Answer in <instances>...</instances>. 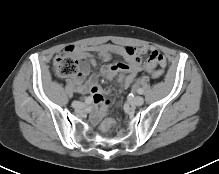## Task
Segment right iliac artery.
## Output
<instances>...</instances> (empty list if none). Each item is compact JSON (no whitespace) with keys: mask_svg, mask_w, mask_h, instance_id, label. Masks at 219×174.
<instances>
[{"mask_svg":"<svg viewBox=\"0 0 219 174\" xmlns=\"http://www.w3.org/2000/svg\"><path fill=\"white\" fill-rule=\"evenodd\" d=\"M85 103H86V104H90V103H91V98H90V97H87V98L85 99ZM72 105H73V103H72Z\"/></svg>","mask_w":219,"mask_h":174,"instance_id":"1","label":"right iliac artery"}]
</instances>
